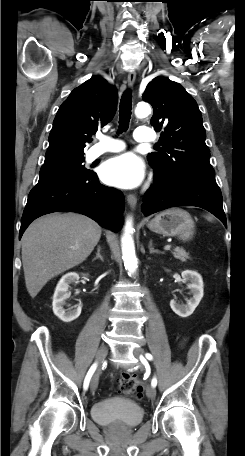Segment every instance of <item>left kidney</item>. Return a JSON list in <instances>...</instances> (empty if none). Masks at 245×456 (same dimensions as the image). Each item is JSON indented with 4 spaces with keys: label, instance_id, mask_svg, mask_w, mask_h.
Segmentation results:
<instances>
[{
    "label": "left kidney",
    "instance_id": "left-kidney-1",
    "mask_svg": "<svg viewBox=\"0 0 245 456\" xmlns=\"http://www.w3.org/2000/svg\"><path fill=\"white\" fill-rule=\"evenodd\" d=\"M181 275L183 282H190L187 287L190 289L192 297L187 301L186 305H180L171 300L170 307L178 316L186 318L194 312L203 297V280L201 275L195 271L186 270Z\"/></svg>",
    "mask_w": 245,
    "mask_h": 456
}]
</instances>
